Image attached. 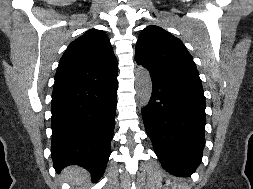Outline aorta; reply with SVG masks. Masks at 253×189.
<instances>
[{"label": "aorta", "mask_w": 253, "mask_h": 189, "mask_svg": "<svg viewBox=\"0 0 253 189\" xmlns=\"http://www.w3.org/2000/svg\"><path fill=\"white\" fill-rule=\"evenodd\" d=\"M135 87L139 104L146 106L152 94V80L149 71L142 66L135 71Z\"/></svg>", "instance_id": "762f6f07"}]
</instances>
